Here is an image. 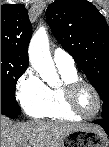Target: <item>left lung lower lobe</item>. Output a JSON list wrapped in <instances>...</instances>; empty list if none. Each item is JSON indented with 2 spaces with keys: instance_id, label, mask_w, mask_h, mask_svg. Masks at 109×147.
<instances>
[{
  "instance_id": "0a47b994",
  "label": "left lung lower lobe",
  "mask_w": 109,
  "mask_h": 147,
  "mask_svg": "<svg viewBox=\"0 0 109 147\" xmlns=\"http://www.w3.org/2000/svg\"><path fill=\"white\" fill-rule=\"evenodd\" d=\"M93 123L102 126L105 132L109 135V118H100L93 121Z\"/></svg>"
}]
</instances>
